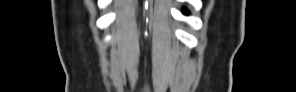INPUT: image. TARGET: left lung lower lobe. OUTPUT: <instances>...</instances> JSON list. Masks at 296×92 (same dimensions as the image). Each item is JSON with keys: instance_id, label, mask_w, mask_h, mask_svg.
I'll return each mask as SVG.
<instances>
[{"instance_id": "0a47b994", "label": "left lung lower lobe", "mask_w": 296, "mask_h": 92, "mask_svg": "<svg viewBox=\"0 0 296 92\" xmlns=\"http://www.w3.org/2000/svg\"><path fill=\"white\" fill-rule=\"evenodd\" d=\"M185 14H188V11L186 10V9H184V11H183Z\"/></svg>"}]
</instances>
